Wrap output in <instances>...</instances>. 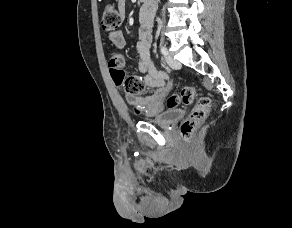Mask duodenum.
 <instances>
[{
    "label": "duodenum",
    "mask_w": 292,
    "mask_h": 228,
    "mask_svg": "<svg viewBox=\"0 0 292 228\" xmlns=\"http://www.w3.org/2000/svg\"><path fill=\"white\" fill-rule=\"evenodd\" d=\"M142 1H143L144 5H147V6L153 4V0H142Z\"/></svg>",
    "instance_id": "1"
}]
</instances>
